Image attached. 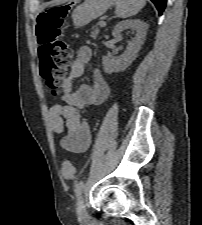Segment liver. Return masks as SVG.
<instances>
[{"instance_id": "1", "label": "liver", "mask_w": 202, "mask_h": 225, "mask_svg": "<svg viewBox=\"0 0 202 225\" xmlns=\"http://www.w3.org/2000/svg\"><path fill=\"white\" fill-rule=\"evenodd\" d=\"M67 0H61V2H66Z\"/></svg>"}]
</instances>
